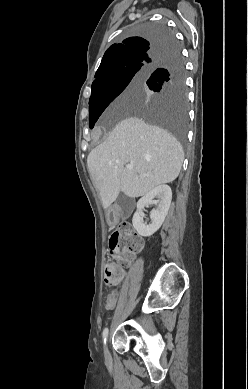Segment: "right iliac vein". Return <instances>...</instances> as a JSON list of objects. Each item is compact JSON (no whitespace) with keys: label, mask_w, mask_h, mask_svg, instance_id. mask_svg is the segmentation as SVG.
Listing matches in <instances>:
<instances>
[{"label":"right iliac vein","mask_w":248,"mask_h":389,"mask_svg":"<svg viewBox=\"0 0 248 389\" xmlns=\"http://www.w3.org/2000/svg\"><path fill=\"white\" fill-rule=\"evenodd\" d=\"M104 352H105V355L107 356L108 355V347H107V345H105Z\"/></svg>","instance_id":"right-iliac-vein-1"}]
</instances>
